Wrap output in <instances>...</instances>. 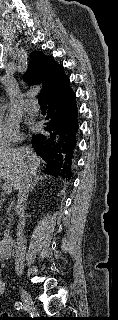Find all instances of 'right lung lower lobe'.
Segmentation results:
<instances>
[{
    "label": "right lung lower lobe",
    "instance_id": "98d812e1",
    "mask_svg": "<svg viewBox=\"0 0 118 320\" xmlns=\"http://www.w3.org/2000/svg\"><path fill=\"white\" fill-rule=\"evenodd\" d=\"M75 93L70 86L47 99L48 112L45 133L33 135L32 144L37 154L49 167L46 174L70 180L78 131Z\"/></svg>",
    "mask_w": 118,
    "mask_h": 320
}]
</instances>
